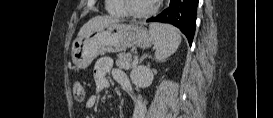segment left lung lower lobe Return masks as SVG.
Returning <instances> with one entry per match:
<instances>
[{"label":"left lung lower lobe","mask_w":273,"mask_h":118,"mask_svg":"<svg viewBox=\"0 0 273 118\" xmlns=\"http://www.w3.org/2000/svg\"><path fill=\"white\" fill-rule=\"evenodd\" d=\"M199 0H170L168 7L147 22L170 23L179 28L187 37L189 44L195 33L196 12Z\"/></svg>","instance_id":"1"}]
</instances>
